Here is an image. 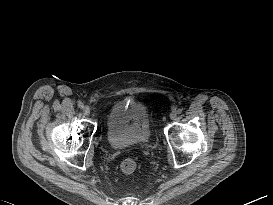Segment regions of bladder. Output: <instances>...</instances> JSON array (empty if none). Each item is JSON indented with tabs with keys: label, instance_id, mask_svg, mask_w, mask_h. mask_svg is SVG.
Wrapping results in <instances>:
<instances>
[{
	"label": "bladder",
	"instance_id": "31cf9c89",
	"mask_svg": "<svg viewBox=\"0 0 273 205\" xmlns=\"http://www.w3.org/2000/svg\"><path fill=\"white\" fill-rule=\"evenodd\" d=\"M150 125L145 106L136 100L115 103L106 118V137L115 149H129L145 143Z\"/></svg>",
	"mask_w": 273,
	"mask_h": 205
}]
</instances>
